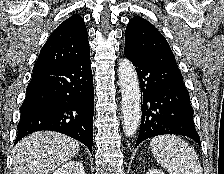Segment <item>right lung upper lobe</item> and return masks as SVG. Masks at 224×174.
<instances>
[{
    "label": "right lung upper lobe",
    "instance_id": "1",
    "mask_svg": "<svg viewBox=\"0 0 224 174\" xmlns=\"http://www.w3.org/2000/svg\"><path fill=\"white\" fill-rule=\"evenodd\" d=\"M90 56L88 33L81 16L74 14L50 35L34 65L33 72Z\"/></svg>",
    "mask_w": 224,
    "mask_h": 174
}]
</instances>
